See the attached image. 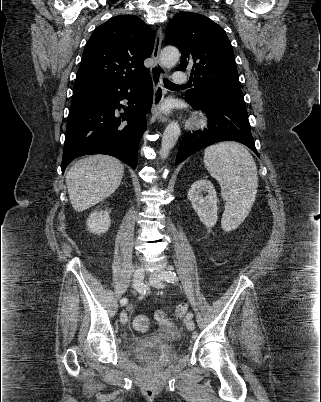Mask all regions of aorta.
<instances>
[{
    "label": "aorta",
    "instance_id": "aorta-1",
    "mask_svg": "<svg viewBox=\"0 0 321 402\" xmlns=\"http://www.w3.org/2000/svg\"><path fill=\"white\" fill-rule=\"evenodd\" d=\"M180 59V52L174 46L165 47L160 54V62L161 65L167 69H171L174 67ZM181 130L179 124L175 121H172L166 127L161 142V149L159 151V155L161 159H165L170 150L175 146Z\"/></svg>",
    "mask_w": 321,
    "mask_h": 402
}]
</instances>
